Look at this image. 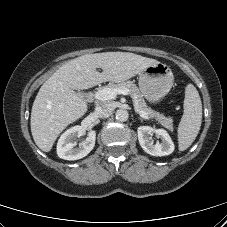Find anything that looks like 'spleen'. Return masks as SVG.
Returning a JSON list of instances; mask_svg holds the SVG:
<instances>
[{"instance_id": "3e777b00", "label": "spleen", "mask_w": 227, "mask_h": 227, "mask_svg": "<svg viewBox=\"0 0 227 227\" xmlns=\"http://www.w3.org/2000/svg\"><path fill=\"white\" fill-rule=\"evenodd\" d=\"M202 122V103L193 84L185 88L184 113L178 126V147L184 151L191 146L199 133Z\"/></svg>"}]
</instances>
